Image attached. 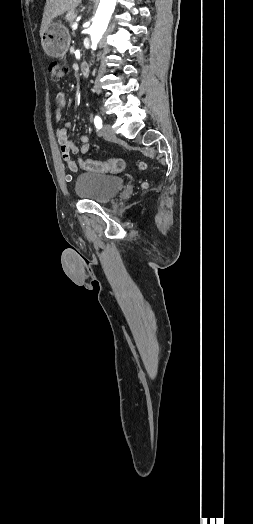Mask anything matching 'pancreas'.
<instances>
[{
    "instance_id": "obj_1",
    "label": "pancreas",
    "mask_w": 253,
    "mask_h": 524,
    "mask_svg": "<svg viewBox=\"0 0 253 524\" xmlns=\"http://www.w3.org/2000/svg\"><path fill=\"white\" fill-rule=\"evenodd\" d=\"M77 17V12L76 11H69L66 16H65V19L67 22H69L70 25H72L75 21Z\"/></svg>"
}]
</instances>
